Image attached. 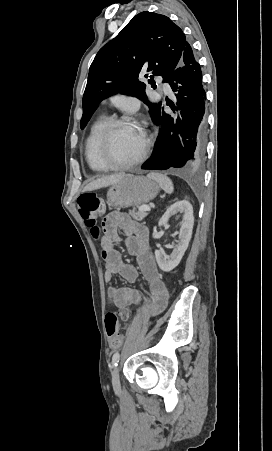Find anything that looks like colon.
<instances>
[{
	"instance_id": "obj_1",
	"label": "colon",
	"mask_w": 272,
	"mask_h": 451,
	"mask_svg": "<svg viewBox=\"0 0 272 451\" xmlns=\"http://www.w3.org/2000/svg\"><path fill=\"white\" fill-rule=\"evenodd\" d=\"M77 205L79 207V213L84 223L88 226H94L100 216L104 212V200L101 196L94 192L85 193L77 198ZM119 317L127 319L129 312L125 309L118 311ZM105 332L109 337H112L118 332V318L113 313L105 315ZM111 347H120L122 341L120 338L110 339Z\"/></svg>"
}]
</instances>
